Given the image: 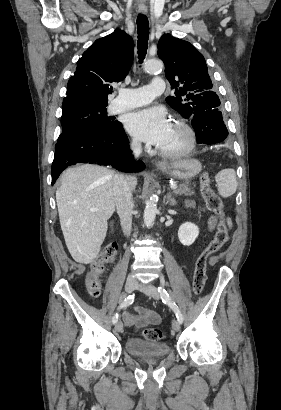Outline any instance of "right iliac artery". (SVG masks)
Segmentation results:
<instances>
[{"mask_svg":"<svg viewBox=\"0 0 281 410\" xmlns=\"http://www.w3.org/2000/svg\"><path fill=\"white\" fill-rule=\"evenodd\" d=\"M134 298H135V295H134V294L129 295L127 298L124 299V301H122V302L120 303V305H119V307H118V310H120V309H122V308H126V307H128L129 305H131V304L134 302ZM118 317H119L118 313H115L114 316H113V318H112V322H113L114 324L117 322Z\"/></svg>","mask_w":281,"mask_h":410,"instance_id":"obj_1","label":"right iliac artery"}]
</instances>
